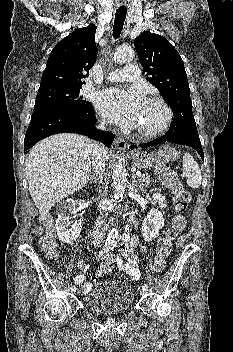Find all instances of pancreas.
<instances>
[{
	"instance_id": "1",
	"label": "pancreas",
	"mask_w": 233,
	"mask_h": 352,
	"mask_svg": "<svg viewBox=\"0 0 233 352\" xmlns=\"http://www.w3.org/2000/svg\"><path fill=\"white\" fill-rule=\"evenodd\" d=\"M138 180L141 186H147L150 183L151 178L149 175H141Z\"/></svg>"
}]
</instances>
